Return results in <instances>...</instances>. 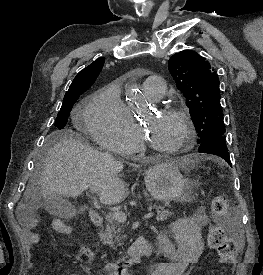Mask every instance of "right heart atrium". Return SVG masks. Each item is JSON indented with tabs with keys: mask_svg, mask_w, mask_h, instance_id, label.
Returning <instances> with one entry per match:
<instances>
[{
	"mask_svg": "<svg viewBox=\"0 0 263 275\" xmlns=\"http://www.w3.org/2000/svg\"><path fill=\"white\" fill-rule=\"evenodd\" d=\"M84 123L95 142L112 152L130 153L141 143L140 128L116 87H105L92 96Z\"/></svg>",
	"mask_w": 263,
	"mask_h": 275,
	"instance_id": "obj_1",
	"label": "right heart atrium"
}]
</instances>
